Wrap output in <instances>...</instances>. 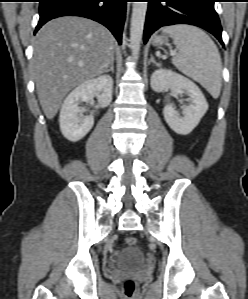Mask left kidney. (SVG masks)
I'll use <instances>...</instances> for the list:
<instances>
[{"label":"left kidney","instance_id":"obj_1","mask_svg":"<svg viewBox=\"0 0 248 299\" xmlns=\"http://www.w3.org/2000/svg\"><path fill=\"white\" fill-rule=\"evenodd\" d=\"M151 88L155 92H162L169 88L176 95L189 96V105H184V117L168 104L163 109L165 121L169 127L180 135H187L199 124L201 118L208 110V103L199 87L190 79L171 70L159 69L151 76Z\"/></svg>","mask_w":248,"mask_h":299}]
</instances>
